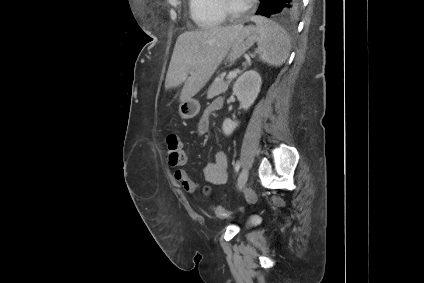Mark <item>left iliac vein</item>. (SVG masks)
<instances>
[{
	"mask_svg": "<svg viewBox=\"0 0 424 283\" xmlns=\"http://www.w3.org/2000/svg\"><path fill=\"white\" fill-rule=\"evenodd\" d=\"M247 178H248V170L247 169H243L239 175L238 181H237V187L239 190H241L246 182H247Z\"/></svg>",
	"mask_w": 424,
	"mask_h": 283,
	"instance_id": "4c4485c4",
	"label": "left iliac vein"
}]
</instances>
